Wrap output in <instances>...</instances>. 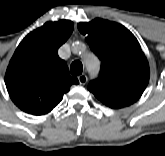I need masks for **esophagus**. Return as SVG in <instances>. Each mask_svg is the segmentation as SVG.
Instances as JSON below:
<instances>
[{
    "mask_svg": "<svg viewBox=\"0 0 165 156\" xmlns=\"http://www.w3.org/2000/svg\"><path fill=\"white\" fill-rule=\"evenodd\" d=\"M78 81L81 85H85L88 81V78L85 74H82L78 76Z\"/></svg>",
    "mask_w": 165,
    "mask_h": 156,
    "instance_id": "esophagus-1",
    "label": "esophagus"
}]
</instances>
